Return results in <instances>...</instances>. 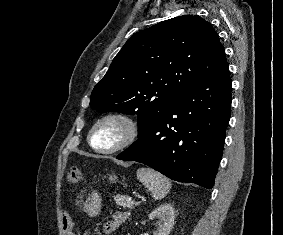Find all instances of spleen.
I'll return each mask as SVG.
<instances>
[{"label": "spleen", "mask_w": 283, "mask_h": 235, "mask_svg": "<svg viewBox=\"0 0 283 235\" xmlns=\"http://www.w3.org/2000/svg\"><path fill=\"white\" fill-rule=\"evenodd\" d=\"M137 178L152 193L155 200L163 199L171 189V181L159 172L150 168H139Z\"/></svg>", "instance_id": "1"}]
</instances>
